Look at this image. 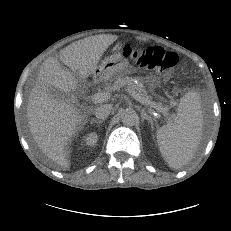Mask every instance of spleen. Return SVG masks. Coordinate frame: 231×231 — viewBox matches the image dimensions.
Returning a JSON list of instances; mask_svg holds the SVG:
<instances>
[{"label": "spleen", "mask_w": 231, "mask_h": 231, "mask_svg": "<svg viewBox=\"0 0 231 231\" xmlns=\"http://www.w3.org/2000/svg\"><path fill=\"white\" fill-rule=\"evenodd\" d=\"M203 115L200 98L188 92L178 105L177 116L157 131L162 156L173 169L188 164L194 157L202 137Z\"/></svg>", "instance_id": "spleen-1"}]
</instances>
